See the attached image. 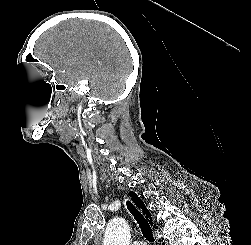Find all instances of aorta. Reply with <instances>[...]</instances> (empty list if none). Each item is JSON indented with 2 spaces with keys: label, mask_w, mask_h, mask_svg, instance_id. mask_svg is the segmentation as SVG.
I'll use <instances>...</instances> for the list:
<instances>
[{
  "label": "aorta",
  "mask_w": 251,
  "mask_h": 245,
  "mask_svg": "<svg viewBox=\"0 0 251 245\" xmlns=\"http://www.w3.org/2000/svg\"><path fill=\"white\" fill-rule=\"evenodd\" d=\"M103 245H130V229L122 218H113L107 225Z\"/></svg>",
  "instance_id": "obj_1"
}]
</instances>
